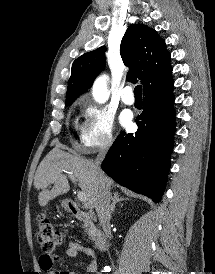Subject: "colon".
<instances>
[{"label":"colon","instance_id":"colon-1","mask_svg":"<svg viewBox=\"0 0 215 274\" xmlns=\"http://www.w3.org/2000/svg\"><path fill=\"white\" fill-rule=\"evenodd\" d=\"M37 237L42 249L49 253H53L62 241L60 232L45 214L37 217Z\"/></svg>","mask_w":215,"mask_h":274}]
</instances>
